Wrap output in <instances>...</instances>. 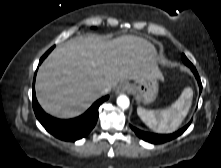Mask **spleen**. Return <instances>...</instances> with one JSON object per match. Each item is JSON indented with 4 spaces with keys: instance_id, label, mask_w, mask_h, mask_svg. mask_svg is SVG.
<instances>
[{
    "instance_id": "3e777b00",
    "label": "spleen",
    "mask_w": 221,
    "mask_h": 168,
    "mask_svg": "<svg viewBox=\"0 0 221 168\" xmlns=\"http://www.w3.org/2000/svg\"><path fill=\"white\" fill-rule=\"evenodd\" d=\"M192 96V89L187 87L170 107L162 110H147L138 107L137 114L153 131L158 133H172L181 125L186 117L192 104Z\"/></svg>"
}]
</instances>
